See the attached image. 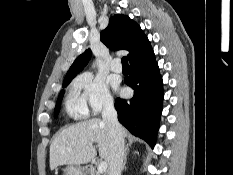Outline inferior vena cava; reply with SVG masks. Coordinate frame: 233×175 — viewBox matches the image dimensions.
I'll return each instance as SVG.
<instances>
[{
	"instance_id": "602c4592",
	"label": "inferior vena cava",
	"mask_w": 233,
	"mask_h": 175,
	"mask_svg": "<svg viewBox=\"0 0 233 175\" xmlns=\"http://www.w3.org/2000/svg\"><path fill=\"white\" fill-rule=\"evenodd\" d=\"M103 122L108 125L113 142L112 156L109 163L108 175H121L124 159V137L122 127L117 119L113 100H107L102 111Z\"/></svg>"
}]
</instances>
